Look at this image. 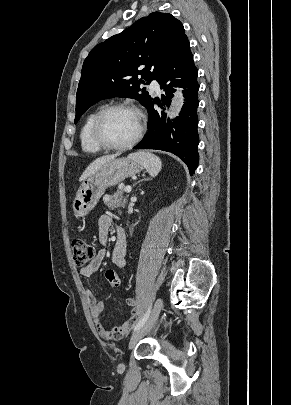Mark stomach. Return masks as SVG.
<instances>
[{
    "label": "stomach",
    "instance_id": "0dacf381",
    "mask_svg": "<svg viewBox=\"0 0 291 405\" xmlns=\"http://www.w3.org/2000/svg\"><path fill=\"white\" fill-rule=\"evenodd\" d=\"M142 168L141 164L130 157L113 159L105 163L81 184L73 201L75 216L79 218L87 215L96 206L107 188L139 173Z\"/></svg>",
    "mask_w": 291,
    "mask_h": 405
}]
</instances>
